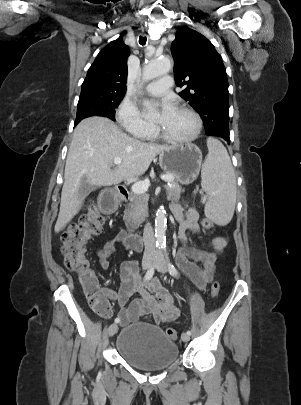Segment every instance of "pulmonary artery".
<instances>
[{"mask_svg": "<svg viewBox=\"0 0 301 405\" xmlns=\"http://www.w3.org/2000/svg\"><path fill=\"white\" fill-rule=\"evenodd\" d=\"M173 84V78L171 76H163L155 81H152L146 85V91L152 95H162Z\"/></svg>", "mask_w": 301, "mask_h": 405, "instance_id": "obj_1", "label": "pulmonary artery"}]
</instances>
